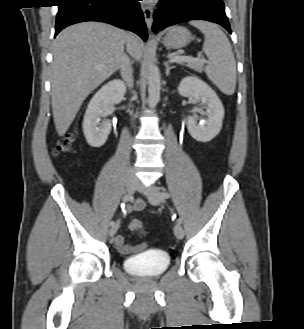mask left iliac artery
I'll list each match as a JSON object with an SVG mask.
<instances>
[{
	"mask_svg": "<svg viewBox=\"0 0 304 329\" xmlns=\"http://www.w3.org/2000/svg\"><path fill=\"white\" fill-rule=\"evenodd\" d=\"M161 197L164 198V199H168V198H170V194L168 192H166V191H163V192H161ZM177 223L178 224H181L182 223V219L181 218H178L177 219Z\"/></svg>",
	"mask_w": 304,
	"mask_h": 329,
	"instance_id": "obj_1",
	"label": "left iliac artery"
}]
</instances>
